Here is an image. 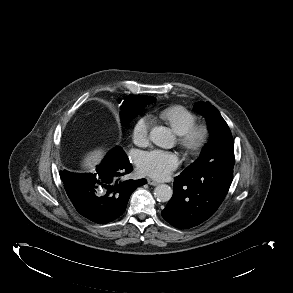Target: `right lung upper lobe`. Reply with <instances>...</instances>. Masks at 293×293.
Returning a JSON list of instances; mask_svg holds the SVG:
<instances>
[{
  "label": "right lung upper lobe",
  "mask_w": 293,
  "mask_h": 293,
  "mask_svg": "<svg viewBox=\"0 0 293 293\" xmlns=\"http://www.w3.org/2000/svg\"><path fill=\"white\" fill-rule=\"evenodd\" d=\"M155 100L154 97L151 96H145V95H129L126 97L122 103L121 106V112L122 110H126L130 106L138 105V104H151Z\"/></svg>",
  "instance_id": "obj_1"
}]
</instances>
